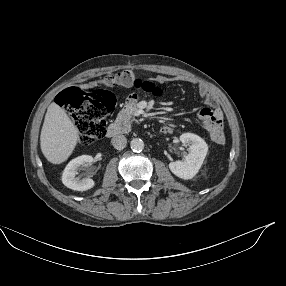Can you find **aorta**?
I'll return each mask as SVG.
<instances>
[{
  "mask_svg": "<svg viewBox=\"0 0 286 286\" xmlns=\"http://www.w3.org/2000/svg\"><path fill=\"white\" fill-rule=\"evenodd\" d=\"M131 149L135 152H141L144 149V142L140 138H134L130 142Z\"/></svg>",
  "mask_w": 286,
  "mask_h": 286,
  "instance_id": "1",
  "label": "aorta"
}]
</instances>
